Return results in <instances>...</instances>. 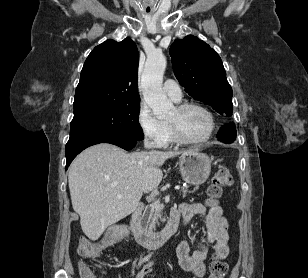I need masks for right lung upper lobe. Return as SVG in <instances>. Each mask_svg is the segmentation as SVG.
Returning a JSON list of instances; mask_svg holds the SVG:
<instances>
[{
  "instance_id": "obj_1",
  "label": "right lung upper lobe",
  "mask_w": 308,
  "mask_h": 278,
  "mask_svg": "<svg viewBox=\"0 0 308 278\" xmlns=\"http://www.w3.org/2000/svg\"><path fill=\"white\" fill-rule=\"evenodd\" d=\"M139 54L126 38L109 39L96 46L86 59L74 99V115L140 103L137 91Z\"/></svg>"
}]
</instances>
